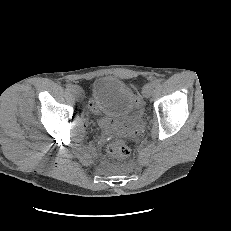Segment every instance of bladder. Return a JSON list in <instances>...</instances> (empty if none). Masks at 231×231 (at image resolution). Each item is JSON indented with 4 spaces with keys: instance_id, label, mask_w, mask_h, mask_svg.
Masks as SVG:
<instances>
[{
    "instance_id": "31cf9c89",
    "label": "bladder",
    "mask_w": 231,
    "mask_h": 231,
    "mask_svg": "<svg viewBox=\"0 0 231 231\" xmlns=\"http://www.w3.org/2000/svg\"><path fill=\"white\" fill-rule=\"evenodd\" d=\"M92 97L100 111L110 117L128 115L135 104L132 88L113 76L97 78L92 84Z\"/></svg>"
}]
</instances>
